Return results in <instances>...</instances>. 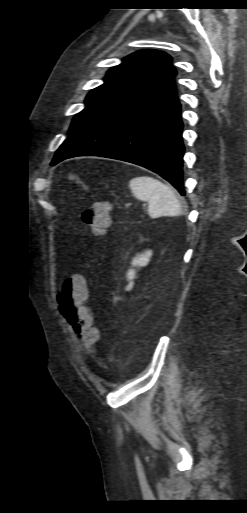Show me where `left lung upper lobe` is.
<instances>
[{"label":"left lung upper lobe","instance_id":"5c2ea615","mask_svg":"<svg viewBox=\"0 0 247 513\" xmlns=\"http://www.w3.org/2000/svg\"><path fill=\"white\" fill-rule=\"evenodd\" d=\"M171 57L157 50H141L108 71L104 84L88 94L86 107L73 119L69 134L154 90L176 76Z\"/></svg>","mask_w":247,"mask_h":513}]
</instances>
